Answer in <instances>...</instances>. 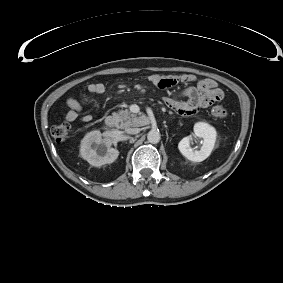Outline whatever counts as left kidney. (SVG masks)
Instances as JSON below:
<instances>
[{
	"instance_id": "5707ae66",
	"label": "left kidney",
	"mask_w": 283,
	"mask_h": 283,
	"mask_svg": "<svg viewBox=\"0 0 283 283\" xmlns=\"http://www.w3.org/2000/svg\"><path fill=\"white\" fill-rule=\"evenodd\" d=\"M194 136L202 139L200 150H193L190 146L191 136L184 137L178 144V149L183 156L193 162L205 160L212 152L216 141V130L205 122H197L194 125Z\"/></svg>"
}]
</instances>
